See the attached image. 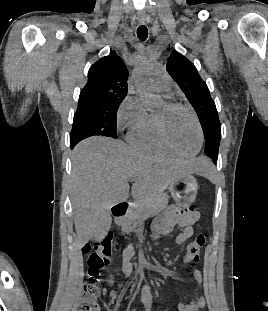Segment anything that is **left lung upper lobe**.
<instances>
[{"mask_svg":"<svg viewBox=\"0 0 268 311\" xmlns=\"http://www.w3.org/2000/svg\"><path fill=\"white\" fill-rule=\"evenodd\" d=\"M166 70L196 111L205 136L204 151L213 162H216L221 139V124L206 83L199 76L195 66L177 51H173L169 56Z\"/></svg>","mask_w":268,"mask_h":311,"instance_id":"obj_1","label":"left lung upper lobe"}]
</instances>
